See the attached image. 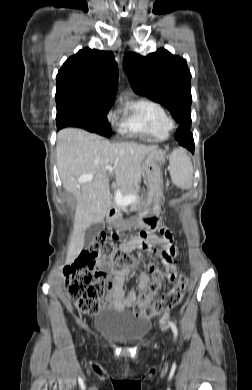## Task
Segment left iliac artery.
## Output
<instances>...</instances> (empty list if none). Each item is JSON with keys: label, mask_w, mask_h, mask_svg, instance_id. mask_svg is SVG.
<instances>
[{"label": "left iliac artery", "mask_w": 252, "mask_h": 390, "mask_svg": "<svg viewBox=\"0 0 252 390\" xmlns=\"http://www.w3.org/2000/svg\"><path fill=\"white\" fill-rule=\"evenodd\" d=\"M169 326L171 327L174 338L176 339L177 335H178V330H177L176 325L173 322H169Z\"/></svg>", "instance_id": "obj_1"}]
</instances>
